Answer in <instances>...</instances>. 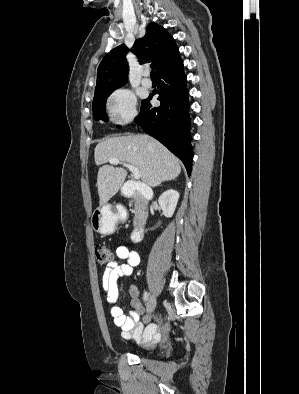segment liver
I'll use <instances>...</instances> for the list:
<instances>
[{
    "label": "liver",
    "mask_w": 299,
    "mask_h": 394,
    "mask_svg": "<svg viewBox=\"0 0 299 394\" xmlns=\"http://www.w3.org/2000/svg\"><path fill=\"white\" fill-rule=\"evenodd\" d=\"M94 158L96 165H102L97 175L100 205L106 204L119 191L127 176L124 168L105 165L111 158L135 166L142 182L150 187L175 179L181 173L178 158L148 135L108 138L97 144Z\"/></svg>",
    "instance_id": "liver-1"
}]
</instances>
